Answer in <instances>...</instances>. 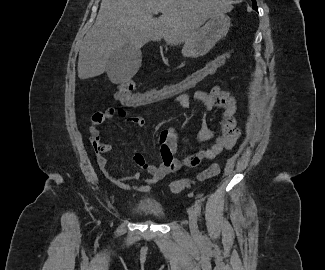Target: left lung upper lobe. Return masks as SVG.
I'll return each instance as SVG.
<instances>
[{"label": "left lung upper lobe", "mask_w": 325, "mask_h": 270, "mask_svg": "<svg viewBox=\"0 0 325 270\" xmlns=\"http://www.w3.org/2000/svg\"><path fill=\"white\" fill-rule=\"evenodd\" d=\"M253 2V9L257 10L256 0H252Z\"/></svg>", "instance_id": "obj_1"}]
</instances>
